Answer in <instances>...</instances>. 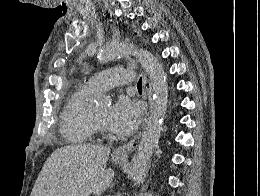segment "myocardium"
Masks as SVG:
<instances>
[{
  "mask_svg": "<svg viewBox=\"0 0 260 196\" xmlns=\"http://www.w3.org/2000/svg\"><path fill=\"white\" fill-rule=\"evenodd\" d=\"M91 123L96 130L100 131L103 134L108 135V131H107L106 127L97 119V117L93 111L91 114Z\"/></svg>",
  "mask_w": 260,
  "mask_h": 196,
  "instance_id": "f54148a6",
  "label": "myocardium"
}]
</instances>
